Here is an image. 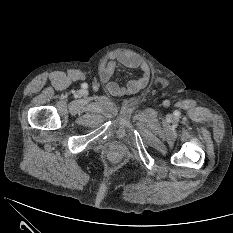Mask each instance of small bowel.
Segmentation results:
<instances>
[{"mask_svg": "<svg viewBox=\"0 0 233 233\" xmlns=\"http://www.w3.org/2000/svg\"><path fill=\"white\" fill-rule=\"evenodd\" d=\"M117 64L138 69L140 75L125 85L118 84L112 81ZM99 76L111 95L125 96L135 94L147 86L150 79V70L148 65L137 55L126 50H118L110 54L101 65Z\"/></svg>", "mask_w": 233, "mask_h": 233, "instance_id": "1", "label": "small bowel"}]
</instances>
